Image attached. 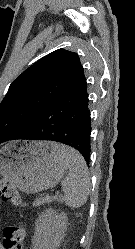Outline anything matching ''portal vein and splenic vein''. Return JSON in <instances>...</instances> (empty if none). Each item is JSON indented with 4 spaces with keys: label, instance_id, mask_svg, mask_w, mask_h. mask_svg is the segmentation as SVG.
Masks as SVG:
<instances>
[{
    "label": "portal vein and splenic vein",
    "instance_id": "portal-vein-and-splenic-vein-1",
    "mask_svg": "<svg viewBox=\"0 0 135 249\" xmlns=\"http://www.w3.org/2000/svg\"><path fill=\"white\" fill-rule=\"evenodd\" d=\"M58 195H60V192H56V193H55V196H58Z\"/></svg>",
    "mask_w": 135,
    "mask_h": 249
}]
</instances>
